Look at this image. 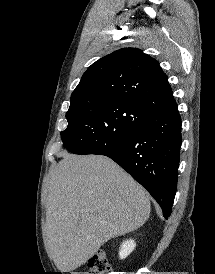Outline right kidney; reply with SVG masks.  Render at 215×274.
I'll return each instance as SVG.
<instances>
[{
    "instance_id": "right-kidney-1",
    "label": "right kidney",
    "mask_w": 215,
    "mask_h": 274,
    "mask_svg": "<svg viewBox=\"0 0 215 274\" xmlns=\"http://www.w3.org/2000/svg\"><path fill=\"white\" fill-rule=\"evenodd\" d=\"M136 247V243L134 240H126L122 243L120 250H119V258L124 259L126 258Z\"/></svg>"
}]
</instances>
